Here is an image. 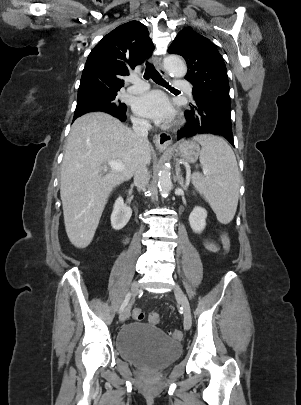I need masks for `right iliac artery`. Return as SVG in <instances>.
<instances>
[{
    "label": "right iliac artery",
    "mask_w": 301,
    "mask_h": 405,
    "mask_svg": "<svg viewBox=\"0 0 301 405\" xmlns=\"http://www.w3.org/2000/svg\"><path fill=\"white\" fill-rule=\"evenodd\" d=\"M130 298H131V293L128 292L125 299H124V301H123V303H122V305L120 306V309H119L120 313L125 309V307L127 306Z\"/></svg>",
    "instance_id": "obj_1"
}]
</instances>
